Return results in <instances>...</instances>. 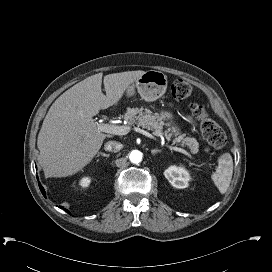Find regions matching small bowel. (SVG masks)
Wrapping results in <instances>:
<instances>
[{
  "mask_svg": "<svg viewBox=\"0 0 272 272\" xmlns=\"http://www.w3.org/2000/svg\"><path fill=\"white\" fill-rule=\"evenodd\" d=\"M188 119L191 121V117H188Z\"/></svg>",
  "mask_w": 272,
  "mask_h": 272,
  "instance_id": "obj_1",
  "label": "small bowel"
}]
</instances>
